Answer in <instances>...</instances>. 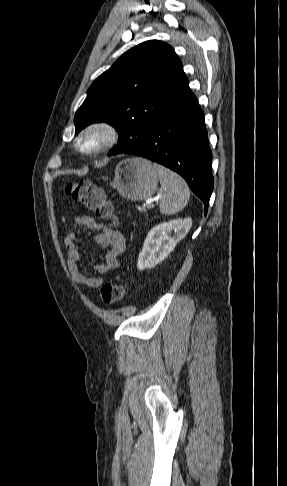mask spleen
Listing matches in <instances>:
<instances>
[{"mask_svg": "<svg viewBox=\"0 0 287 486\" xmlns=\"http://www.w3.org/2000/svg\"><path fill=\"white\" fill-rule=\"evenodd\" d=\"M164 193L160 198L159 209L163 215H174L181 211L189 201L190 191L186 181L170 169L154 164Z\"/></svg>", "mask_w": 287, "mask_h": 486, "instance_id": "obj_1", "label": "spleen"}]
</instances>
